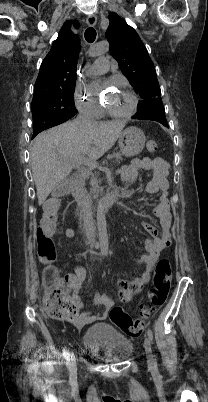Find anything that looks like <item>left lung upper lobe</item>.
Instances as JSON below:
<instances>
[{
  "label": "left lung upper lobe",
  "instance_id": "5c2ea615",
  "mask_svg": "<svg viewBox=\"0 0 208 402\" xmlns=\"http://www.w3.org/2000/svg\"><path fill=\"white\" fill-rule=\"evenodd\" d=\"M108 18L110 24L106 37L110 43V52L143 99L133 118L167 125L156 71L146 47L136 31L116 13H110Z\"/></svg>",
  "mask_w": 208,
  "mask_h": 402
}]
</instances>
